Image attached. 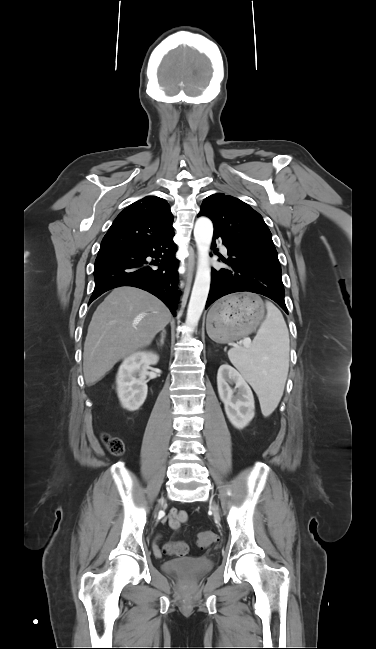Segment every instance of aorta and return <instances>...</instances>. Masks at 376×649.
Segmentation results:
<instances>
[{"mask_svg":"<svg viewBox=\"0 0 376 649\" xmlns=\"http://www.w3.org/2000/svg\"><path fill=\"white\" fill-rule=\"evenodd\" d=\"M213 236V224L207 217H199L194 227V238L198 250V266L186 317L189 330L194 329L204 310L211 282L209 251Z\"/></svg>","mask_w":376,"mask_h":649,"instance_id":"1","label":"aorta"}]
</instances>
